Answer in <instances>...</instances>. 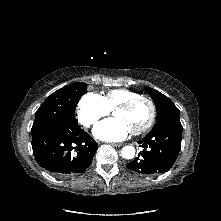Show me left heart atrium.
<instances>
[{
    "instance_id": "obj_1",
    "label": "left heart atrium",
    "mask_w": 221,
    "mask_h": 221,
    "mask_svg": "<svg viewBox=\"0 0 221 221\" xmlns=\"http://www.w3.org/2000/svg\"><path fill=\"white\" fill-rule=\"evenodd\" d=\"M130 131V128L123 120L111 118L97 124L93 134L100 140L121 141L128 136Z\"/></svg>"
}]
</instances>
